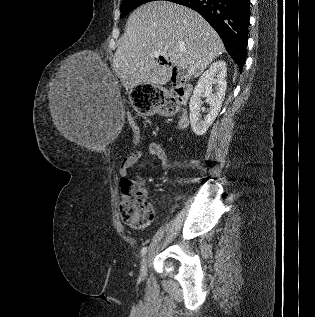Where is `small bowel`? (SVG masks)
I'll return each instance as SVG.
<instances>
[{"label": "small bowel", "mask_w": 315, "mask_h": 317, "mask_svg": "<svg viewBox=\"0 0 315 317\" xmlns=\"http://www.w3.org/2000/svg\"><path fill=\"white\" fill-rule=\"evenodd\" d=\"M148 152L153 160L160 163L161 167L167 165V155L160 143L156 141L150 142L148 146ZM142 154V150L136 149L124 157L119 168L121 181L124 179H129V170L139 161Z\"/></svg>", "instance_id": "c3829d8e"}]
</instances>
